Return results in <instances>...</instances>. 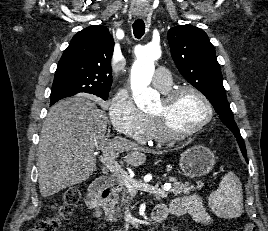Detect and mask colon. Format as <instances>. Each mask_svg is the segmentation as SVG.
Segmentation results:
<instances>
[{"instance_id": "colon-1", "label": "colon", "mask_w": 268, "mask_h": 231, "mask_svg": "<svg viewBox=\"0 0 268 231\" xmlns=\"http://www.w3.org/2000/svg\"><path fill=\"white\" fill-rule=\"evenodd\" d=\"M79 199V193L75 188L68 189L63 198V202L56 207L55 213L51 216L39 219L32 231H57L62 219L68 217L71 206ZM244 231H256L253 223L245 225Z\"/></svg>"}]
</instances>
